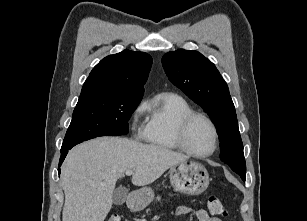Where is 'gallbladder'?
Listing matches in <instances>:
<instances>
[{
    "instance_id": "obj_1",
    "label": "gallbladder",
    "mask_w": 307,
    "mask_h": 221,
    "mask_svg": "<svg viewBox=\"0 0 307 221\" xmlns=\"http://www.w3.org/2000/svg\"><path fill=\"white\" fill-rule=\"evenodd\" d=\"M127 197V190L124 187H119L113 192V203L116 205H122Z\"/></svg>"
}]
</instances>
